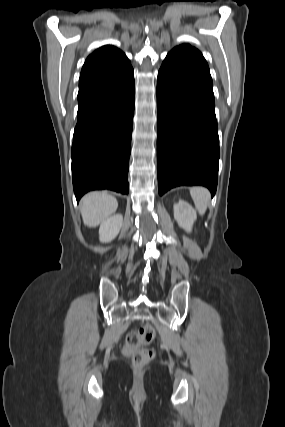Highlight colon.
Instances as JSON below:
<instances>
[{
	"mask_svg": "<svg viewBox=\"0 0 285 427\" xmlns=\"http://www.w3.org/2000/svg\"><path fill=\"white\" fill-rule=\"evenodd\" d=\"M155 338V331L150 325H144L128 333L125 349L131 354L133 364L140 367L154 358V351L150 348Z\"/></svg>",
	"mask_w": 285,
	"mask_h": 427,
	"instance_id": "1",
	"label": "colon"
}]
</instances>
